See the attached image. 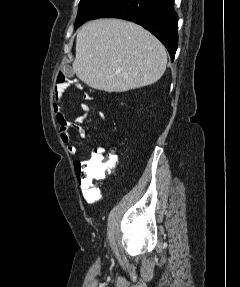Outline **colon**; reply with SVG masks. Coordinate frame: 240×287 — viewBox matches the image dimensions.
I'll use <instances>...</instances> for the list:
<instances>
[{"label":"colon","instance_id":"obj_1","mask_svg":"<svg viewBox=\"0 0 240 287\" xmlns=\"http://www.w3.org/2000/svg\"><path fill=\"white\" fill-rule=\"evenodd\" d=\"M67 83L68 80L65 73L60 71L53 89V101L58 98ZM115 164L116 156L113 153L87 162H76L74 164L75 172L81 187L85 189V193H89L91 191L90 187L96 181L104 178L114 168Z\"/></svg>","mask_w":240,"mask_h":287}]
</instances>
